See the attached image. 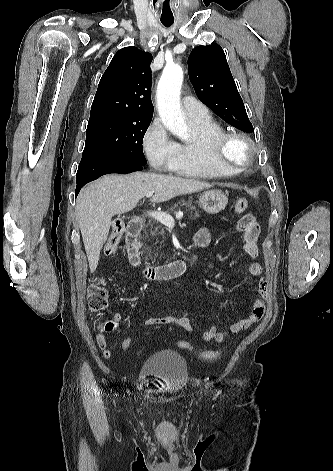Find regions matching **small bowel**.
Instances as JSON below:
<instances>
[{
    "label": "small bowel",
    "instance_id": "obj_1",
    "mask_svg": "<svg viewBox=\"0 0 333 471\" xmlns=\"http://www.w3.org/2000/svg\"><path fill=\"white\" fill-rule=\"evenodd\" d=\"M236 229L237 231L243 233L245 252L253 258L257 257L259 253L257 240L260 233V227L255 218L252 215L243 216L238 221ZM210 239V233L206 228H200L194 236V242L198 248L207 247L210 243ZM249 273L252 276H262L263 268L259 263H252L249 266ZM258 294L259 297L254 300L252 309L248 316L231 324L226 331H219L215 325L210 326L202 333L203 340L208 342L215 340L221 343L226 341L230 335L242 332L260 321L265 314L266 302L270 296L269 282L265 277L260 278ZM120 319L121 315L119 313H114L112 315V320L114 322H117ZM144 324L146 326L172 325L182 329L185 332L193 331V325L187 317H147L144 320ZM96 342L98 347L102 350L104 357L110 358L112 356V351L108 347L104 332L100 331L97 334Z\"/></svg>",
    "mask_w": 333,
    "mask_h": 471
}]
</instances>
